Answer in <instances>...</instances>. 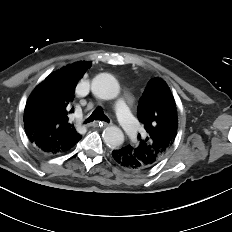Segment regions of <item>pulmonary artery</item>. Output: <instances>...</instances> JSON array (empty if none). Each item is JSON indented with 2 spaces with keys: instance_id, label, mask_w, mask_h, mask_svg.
<instances>
[{
  "instance_id": "pulmonary-artery-1",
  "label": "pulmonary artery",
  "mask_w": 232,
  "mask_h": 232,
  "mask_svg": "<svg viewBox=\"0 0 232 232\" xmlns=\"http://www.w3.org/2000/svg\"><path fill=\"white\" fill-rule=\"evenodd\" d=\"M115 114L126 133L131 138H136L138 123L131 114L125 99H120L115 105Z\"/></svg>"
}]
</instances>
